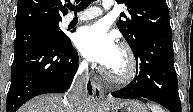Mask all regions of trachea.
I'll list each match as a JSON object with an SVG mask.
<instances>
[{
  "label": "trachea",
  "mask_w": 193,
  "mask_h": 112,
  "mask_svg": "<svg viewBox=\"0 0 193 112\" xmlns=\"http://www.w3.org/2000/svg\"><path fill=\"white\" fill-rule=\"evenodd\" d=\"M92 1H93V0H82V1L79 3V5H77V6H74V5L70 4V5H68L67 7H68V9L73 10V11H75V12H77V11H82V10L86 9V8L90 5V3H91Z\"/></svg>",
  "instance_id": "trachea-1"
}]
</instances>
